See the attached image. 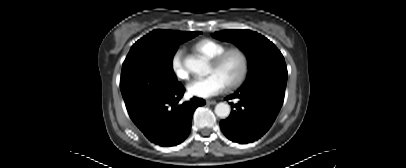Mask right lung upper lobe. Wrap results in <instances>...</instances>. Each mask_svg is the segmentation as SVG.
<instances>
[{
    "label": "right lung upper lobe",
    "mask_w": 406,
    "mask_h": 168,
    "mask_svg": "<svg viewBox=\"0 0 406 168\" xmlns=\"http://www.w3.org/2000/svg\"><path fill=\"white\" fill-rule=\"evenodd\" d=\"M196 32H181L168 30H153L143 37V39H160L176 42H184L194 37Z\"/></svg>",
    "instance_id": "right-lung-upper-lobe-1"
}]
</instances>
